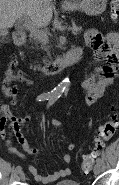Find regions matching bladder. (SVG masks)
Listing matches in <instances>:
<instances>
[{
	"mask_svg": "<svg viewBox=\"0 0 119 185\" xmlns=\"http://www.w3.org/2000/svg\"><path fill=\"white\" fill-rule=\"evenodd\" d=\"M54 185H81L78 181L72 180V179H67V180H62Z\"/></svg>",
	"mask_w": 119,
	"mask_h": 185,
	"instance_id": "bladder-1",
	"label": "bladder"
}]
</instances>
